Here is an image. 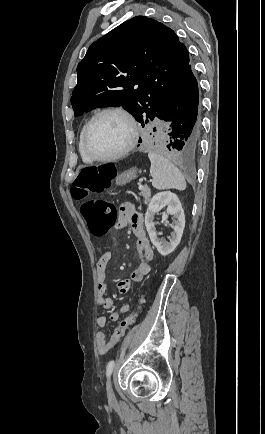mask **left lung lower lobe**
<instances>
[{
	"label": "left lung lower lobe",
	"mask_w": 265,
	"mask_h": 434,
	"mask_svg": "<svg viewBox=\"0 0 265 434\" xmlns=\"http://www.w3.org/2000/svg\"><path fill=\"white\" fill-rule=\"evenodd\" d=\"M155 118L168 123L166 147L176 149L183 155L194 154L198 149L201 134L198 83L191 63L161 100ZM141 140H139V143ZM160 150L163 147L159 148Z\"/></svg>",
	"instance_id": "left-lung-lower-lobe-1"
}]
</instances>
